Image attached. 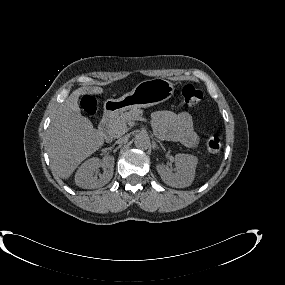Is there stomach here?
<instances>
[{
	"label": "stomach",
	"instance_id": "obj_1",
	"mask_svg": "<svg viewBox=\"0 0 285 285\" xmlns=\"http://www.w3.org/2000/svg\"><path fill=\"white\" fill-rule=\"evenodd\" d=\"M174 89L170 81L162 78L145 80L122 97L105 101L104 112L116 116L127 110L154 106L171 98Z\"/></svg>",
	"mask_w": 285,
	"mask_h": 285
}]
</instances>
